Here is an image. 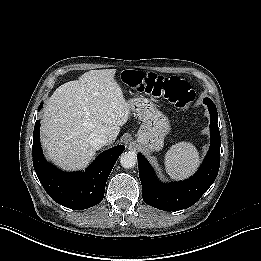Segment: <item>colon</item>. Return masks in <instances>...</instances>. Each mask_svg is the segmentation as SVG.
<instances>
[{"label":"colon","mask_w":261,"mask_h":261,"mask_svg":"<svg viewBox=\"0 0 261 261\" xmlns=\"http://www.w3.org/2000/svg\"><path fill=\"white\" fill-rule=\"evenodd\" d=\"M129 82L146 94L165 98L181 110H187L195 97L190 85L176 76L164 79L153 72L133 71Z\"/></svg>","instance_id":"obj_1"}]
</instances>
